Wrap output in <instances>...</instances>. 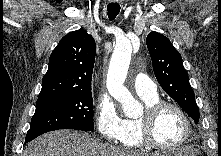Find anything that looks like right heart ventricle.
<instances>
[{
	"instance_id": "e07e8e85",
	"label": "right heart ventricle",
	"mask_w": 221,
	"mask_h": 156,
	"mask_svg": "<svg viewBox=\"0 0 221 156\" xmlns=\"http://www.w3.org/2000/svg\"><path fill=\"white\" fill-rule=\"evenodd\" d=\"M140 97L144 101L146 107L159 101L158 95ZM119 141L127 147H141L144 145L138 135V119H123V132Z\"/></svg>"
}]
</instances>
